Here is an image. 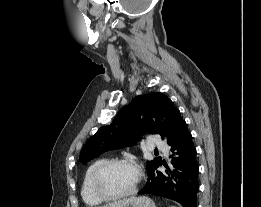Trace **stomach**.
<instances>
[{"label":"stomach","instance_id":"stomach-1","mask_svg":"<svg viewBox=\"0 0 261 207\" xmlns=\"http://www.w3.org/2000/svg\"><path fill=\"white\" fill-rule=\"evenodd\" d=\"M104 207H156L155 203L146 196L124 198L105 205Z\"/></svg>","mask_w":261,"mask_h":207}]
</instances>
